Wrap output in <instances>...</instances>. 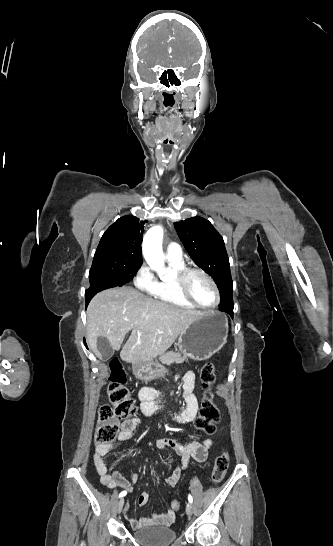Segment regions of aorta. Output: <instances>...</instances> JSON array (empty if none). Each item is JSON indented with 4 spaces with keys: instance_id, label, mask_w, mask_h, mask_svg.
I'll list each match as a JSON object with an SVG mask.
<instances>
[{
    "instance_id": "obj_1",
    "label": "aorta",
    "mask_w": 333,
    "mask_h": 546,
    "mask_svg": "<svg viewBox=\"0 0 333 546\" xmlns=\"http://www.w3.org/2000/svg\"><path fill=\"white\" fill-rule=\"evenodd\" d=\"M163 228L154 226L148 230L143 239V255L150 267L154 268L158 275L164 276L169 271L164 267L162 256Z\"/></svg>"
}]
</instances>
